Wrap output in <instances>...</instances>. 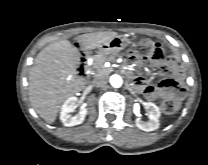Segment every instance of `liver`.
<instances>
[{"mask_svg":"<svg viewBox=\"0 0 208 165\" xmlns=\"http://www.w3.org/2000/svg\"><path fill=\"white\" fill-rule=\"evenodd\" d=\"M117 35L113 31L87 33L75 38L79 49L61 40L39 52L29 73V99L42 119L53 123L62 103L84 89L86 80L76 75L80 50L99 48Z\"/></svg>","mask_w":208,"mask_h":165,"instance_id":"obj_1","label":"liver"}]
</instances>
